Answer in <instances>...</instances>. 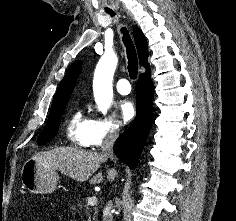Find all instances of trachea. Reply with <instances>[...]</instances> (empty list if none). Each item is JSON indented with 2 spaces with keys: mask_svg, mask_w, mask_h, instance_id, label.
I'll use <instances>...</instances> for the list:
<instances>
[{
  "mask_svg": "<svg viewBox=\"0 0 236 221\" xmlns=\"http://www.w3.org/2000/svg\"><path fill=\"white\" fill-rule=\"evenodd\" d=\"M108 13L111 16H115L114 12H108ZM121 32L123 33V42L127 50L129 76L131 79H136L137 74H138V58H137L136 50L127 29L122 28Z\"/></svg>",
  "mask_w": 236,
  "mask_h": 221,
  "instance_id": "3493384b",
  "label": "trachea"
}]
</instances>
